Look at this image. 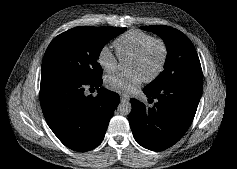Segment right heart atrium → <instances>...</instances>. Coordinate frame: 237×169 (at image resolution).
<instances>
[{
	"mask_svg": "<svg viewBox=\"0 0 237 169\" xmlns=\"http://www.w3.org/2000/svg\"><path fill=\"white\" fill-rule=\"evenodd\" d=\"M118 58V55L108 45L101 47L97 55L99 65L107 73L115 71L118 65Z\"/></svg>",
	"mask_w": 237,
	"mask_h": 169,
	"instance_id": "1",
	"label": "right heart atrium"
}]
</instances>
